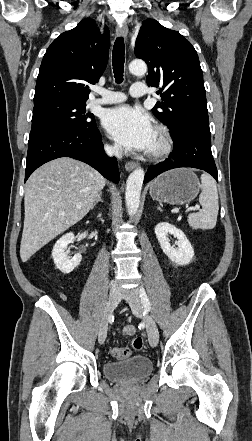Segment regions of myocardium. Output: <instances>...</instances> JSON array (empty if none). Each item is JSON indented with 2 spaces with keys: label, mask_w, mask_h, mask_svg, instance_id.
<instances>
[{
  "label": "myocardium",
  "mask_w": 252,
  "mask_h": 441,
  "mask_svg": "<svg viewBox=\"0 0 252 441\" xmlns=\"http://www.w3.org/2000/svg\"><path fill=\"white\" fill-rule=\"evenodd\" d=\"M155 134L158 138V147L149 150L148 156L152 159H162L170 154L173 146L172 138L168 129L164 126H157Z\"/></svg>",
  "instance_id": "1"
}]
</instances>
